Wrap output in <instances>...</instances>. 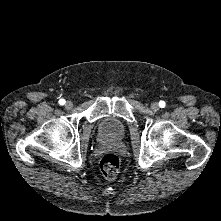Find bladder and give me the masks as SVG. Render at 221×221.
Here are the masks:
<instances>
[{"instance_id": "31cf9c89", "label": "bladder", "mask_w": 221, "mask_h": 221, "mask_svg": "<svg viewBox=\"0 0 221 221\" xmlns=\"http://www.w3.org/2000/svg\"><path fill=\"white\" fill-rule=\"evenodd\" d=\"M98 133L101 141L114 142L124 137L126 128L119 120L108 117L103 119L99 124Z\"/></svg>"}]
</instances>
